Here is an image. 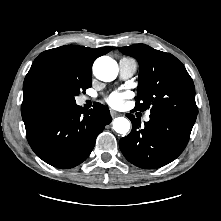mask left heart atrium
Segmentation results:
<instances>
[{
    "mask_svg": "<svg viewBox=\"0 0 221 221\" xmlns=\"http://www.w3.org/2000/svg\"><path fill=\"white\" fill-rule=\"evenodd\" d=\"M128 97V93L114 92L107 98V103L113 108H120Z\"/></svg>",
    "mask_w": 221,
    "mask_h": 221,
    "instance_id": "39dd6f15",
    "label": "left heart atrium"
}]
</instances>
